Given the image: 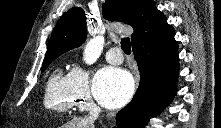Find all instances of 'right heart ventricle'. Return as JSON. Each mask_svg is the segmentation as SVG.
I'll return each instance as SVG.
<instances>
[{"label":"right heart ventricle","mask_w":221,"mask_h":128,"mask_svg":"<svg viewBox=\"0 0 221 128\" xmlns=\"http://www.w3.org/2000/svg\"><path fill=\"white\" fill-rule=\"evenodd\" d=\"M76 102L69 73H64L61 67H57L46 84L45 107L58 114L71 113L76 108Z\"/></svg>","instance_id":"obj_1"}]
</instances>
